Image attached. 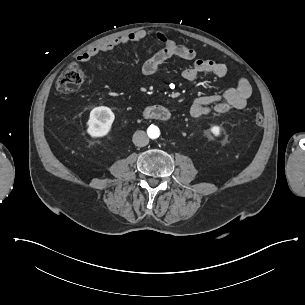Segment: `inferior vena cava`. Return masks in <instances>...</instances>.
I'll return each instance as SVG.
<instances>
[{"mask_svg":"<svg viewBox=\"0 0 305 305\" xmlns=\"http://www.w3.org/2000/svg\"><path fill=\"white\" fill-rule=\"evenodd\" d=\"M132 140L134 145L138 147H144L149 143V138L147 134L142 130L136 131L133 135Z\"/></svg>","mask_w":305,"mask_h":305,"instance_id":"obj_1","label":"inferior vena cava"}]
</instances>
